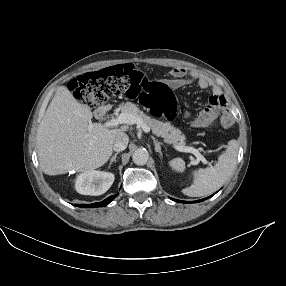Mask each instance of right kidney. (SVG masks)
<instances>
[{
	"mask_svg": "<svg viewBox=\"0 0 286 286\" xmlns=\"http://www.w3.org/2000/svg\"><path fill=\"white\" fill-rule=\"evenodd\" d=\"M114 174L110 172L90 170L77 176L75 189L83 195L98 196L104 194L114 182Z\"/></svg>",
	"mask_w": 286,
	"mask_h": 286,
	"instance_id": "ca27d5eb",
	"label": "right kidney"
}]
</instances>
